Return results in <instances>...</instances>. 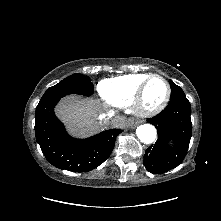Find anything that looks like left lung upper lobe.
I'll use <instances>...</instances> for the list:
<instances>
[{"label":"left lung upper lobe","instance_id":"left-lung-upper-lobe-1","mask_svg":"<svg viewBox=\"0 0 221 221\" xmlns=\"http://www.w3.org/2000/svg\"><path fill=\"white\" fill-rule=\"evenodd\" d=\"M169 83L171 86L170 101L186 98L185 93L178 85H176L172 80H169Z\"/></svg>","mask_w":221,"mask_h":221}]
</instances>
